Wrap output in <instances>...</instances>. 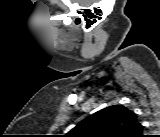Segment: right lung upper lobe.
<instances>
[{
	"mask_svg": "<svg viewBox=\"0 0 160 137\" xmlns=\"http://www.w3.org/2000/svg\"><path fill=\"white\" fill-rule=\"evenodd\" d=\"M143 126L135 113L122 105L104 108L79 122L71 137H140Z\"/></svg>",
	"mask_w": 160,
	"mask_h": 137,
	"instance_id": "cb5924a9",
	"label": "right lung upper lobe"
}]
</instances>
